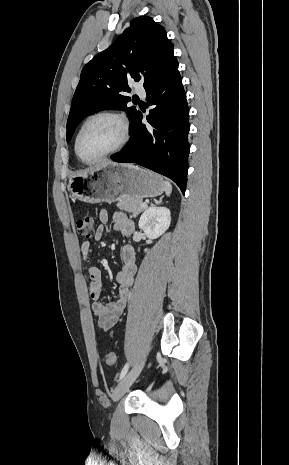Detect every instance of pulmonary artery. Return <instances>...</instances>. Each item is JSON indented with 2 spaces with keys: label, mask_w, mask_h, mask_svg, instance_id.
Listing matches in <instances>:
<instances>
[{
  "label": "pulmonary artery",
  "mask_w": 289,
  "mask_h": 465,
  "mask_svg": "<svg viewBox=\"0 0 289 465\" xmlns=\"http://www.w3.org/2000/svg\"><path fill=\"white\" fill-rule=\"evenodd\" d=\"M135 91H136L137 94H139L141 96L145 95V89L141 85L136 86Z\"/></svg>",
  "instance_id": "pulmonary-artery-1"
}]
</instances>
